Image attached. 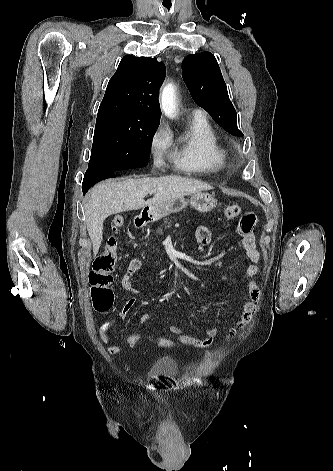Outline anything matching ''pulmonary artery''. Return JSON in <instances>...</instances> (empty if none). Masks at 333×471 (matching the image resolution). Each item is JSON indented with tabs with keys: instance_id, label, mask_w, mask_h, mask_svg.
I'll return each mask as SVG.
<instances>
[{
	"instance_id": "e3ab8cb5",
	"label": "pulmonary artery",
	"mask_w": 333,
	"mask_h": 471,
	"mask_svg": "<svg viewBox=\"0 0 333 471\" xmlns=\"http://www.w3.org/2000/svg\"><path fill=\"white\" fill-rule=\"evenodd\" d=\"M192 115H193L194 117L200 116V115H202V111H201V110H193Z\"/></svg>"
}]
</instances>
